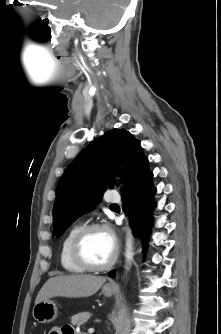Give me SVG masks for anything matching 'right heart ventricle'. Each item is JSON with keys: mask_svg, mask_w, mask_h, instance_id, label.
Returning a JSON list of instances; mask_svg holds the SVG:
<instances>
[{"mask_svg": "<svg viewBox=\"0 0 221 334\" xmlns=\"http://www.w3.org/2000/svg\"><path fill=\"white\" fill-rule=\"evenodd\" d=\"M80 228L81 226L78 224L72 226L64 236L60 247V264L66 272L72 274H79L85 271L73 260L71 255V244Z\"/></svg>", "mask_w": 221, "mask_h": 334, "instance_id": "right-heart-ventricle-1", "label": "right heart ventricle"}]
</instances>
